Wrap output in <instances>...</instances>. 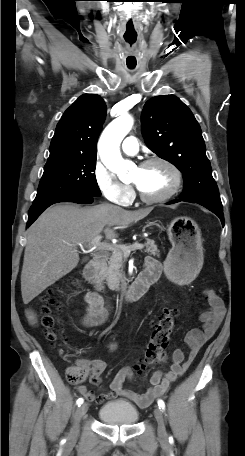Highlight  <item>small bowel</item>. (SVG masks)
Instances as JSON below:
<instances>
[{
	"instance_id": "obj_1",
	"label": "small bowel",
	"mask_w": 245,
	"mask_h": 456,
	"mask_svg": "<svg viewBox=\"0 0 245 456\" xmlns=\"http://www.w3.org/2000/svg\"><path fill=\"white\" fill-rule=\"evenodd\" d=\"M147 260L156 261L152 258H148ZM204 298L209 305V309L200 315L203 326L201 329H192L188 331L185 336V342L189 347L187 358H185L183 351L179 349L175 350L172 354L170 370L167 372L155 371L150 377L151 387L144 394L123 387L126 381H130L133 378V372L129 367H123L119 370L110 384L109 391L95 395L92 390L85 386H81L79 387L80 394L88 401L99 404L117 397H123L129 399L140 408L148 407L156 398L165 393L170 383L176 381L186 372L201 347L214 335L219 327L226 312L222 298L211 289L204 291ZM84 299L88 307L82 324L86 327L104 324L109 317V308L106 303L93 292L86 293ZM27 316L32 324L36 322V315L33 310H28ZM110 348L114 349L115 344H111ZM162 360H165V357H163ZM80 364L90 371L91 383L98 385L101 382V375L105 369L104 362L101 360H92L80 361Z\"/></svg>"
}]
</instances>
